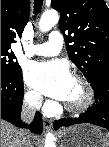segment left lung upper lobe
<instances>
[{"instance_id": "obj_1", "label": "left lung upper lobe", "mask_w": 109, "mask_h": 147, "mask_svg": "<svg viewBox=\"0 0 109 147\" xmlns=\"http://www.w3.org/2000/svg\"><path fill=\"white\" fill-rule=\"evenodd\" d=\"M71 61L93 83L109 73V8L104 0H52ZM67 35H66V34Z\"/></svg>"}]
</instances>
